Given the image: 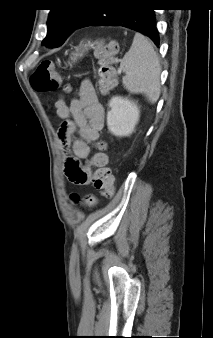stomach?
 Segmentation results:
<instances>
[{
	"mask_svg": "<svg viewBox=\"0 0 213 338\" xmlns=\"http://www.w3.org/2000/svg\"><path fill=\"white\" fill-rule=\"evenodd\" d=\"M90 48V43L88 42L87 44L80 45L76 48L75 52L72 53L70 57L69 64L72 65L76 63L78 60L84 57V55L88 52Z\"/></svg>",
	"mask_w": 213,
	"mask_h": 338,
	"instance_id": "stomach-1",
	"label": "stomach"
}]
</instances>
